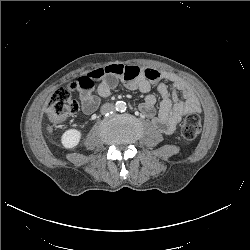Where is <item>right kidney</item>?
<instances>
[{
	"mask_svg": "<svg viewBox=\"0 0 250 250\" xmlns=\"http://www.w3.org/2000/svg\"><path fill=\"white\" fill-rule=\"evenodd\" d=\"M81 139V132L77 129H69L65 131L61 137L62 145L65 148H74L77 146Z\"/></svg>",
	"mask_w": 250,
	"mask_h": 250,
	"instance_id": "ca27d5eb",
	"label": "right kidney"
}]
</instances>
